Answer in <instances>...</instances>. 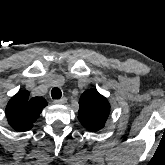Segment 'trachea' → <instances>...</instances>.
Segmentation results:
<instances>
[{
    "label": "trachea",
    "instance_id": "3493384b",
    "mask_svg": "<svg viewBox=\"0 0 165 165\" xmlns=\"http://www.w3.org/2000/svg\"><path fill=\"white\" fill-rule=\"evenodd\" d=\"M51 96L53 99H60L62 96V92L59 88L55 87L51 90Z\"/></svg>",
    "mask_w": 165,
    "mask_h": 165
}]
</instances>
